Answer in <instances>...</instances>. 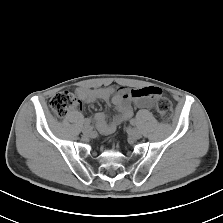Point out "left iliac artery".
Listing matches in <instances>:
<instances>
[{
	"label": "left iliac artery",
	"instance_id": "1",
	"mask_svg": "<svg viewBox=\"0 0 223 223\" xmlns=\"http://www.w3.org/2000/svg\"><path fill=\"white\" fill-rule=\"evenodd\" d=\"M130 124L135 126L137 125V121L135 119H131Z\"/></svg>",
	"mask_w": 223,
	"mask_h": 223
}]
</instances>
